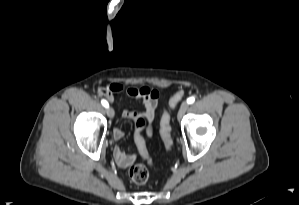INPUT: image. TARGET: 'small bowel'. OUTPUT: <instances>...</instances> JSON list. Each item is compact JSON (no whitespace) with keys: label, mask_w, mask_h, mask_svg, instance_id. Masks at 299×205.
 <instances>
[{"label":"small bowel","mask_w":299,"mask_h":205,"mask_svg":"<svg viewBox=\"0 0 299 205\" xmlns=\"http://www.w3.org/2000/svg\"><path fill=\"white\" fill-rule=\"evenodd\" d=\"M111 94L120 92L123 90V86L119 83H113L110 85ZM126 93L128 96L141 100L143 105V110L141 112L132 111L129 109H126L123 111V117L126 119L135 120L137 117L142 116L145 118L147 124H150L152 120L154 119L157 105H158V99H159V92L156 89H152L149 87H129L126 89ZM110 101L113 100L112 95L109 96ZM151 134V130L148 127L147 129V135L149 136ZM125 132L121 128H116L114 130V138L116 140H120L124 137ZM114 158L118 166L121 168H128L135 162V156L130 153L124 152L120 147H116L114 149Z\"/></svg>","instance_id":"obj_1"}]
</instances>
